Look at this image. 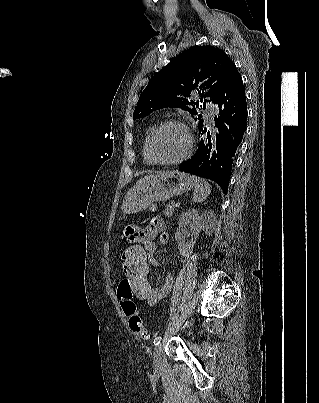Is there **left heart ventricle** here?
Instances as JSON below:
<instances>
[{"label": "left heart ventricle", "mask_w": 319, "mask_h": 403, "mask_svg": "<svg viewBox=\"0 0 319 403\" xmlns=\"http://www.w3.org/2000/svg\"><path fill=\"white\" fill-rule=\"evenodd\" d=\"M187 137L182 128L174 125L162 128L152 142L156 159L171 160L180 157L186 150Z\"/></svg>", "instance_id": "1"}]
</instances>
